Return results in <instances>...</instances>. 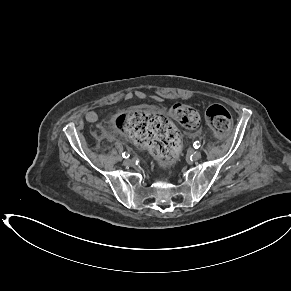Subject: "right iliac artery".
Returning a JSON list of instances; mask_svg holds the SVG:
<instances>
[{"label":"right iliac artery","instance_id":"obj_1","mask_svg":"<svg viewBox=\"0 0 291 291\" xmlns=\"http://www.w3.org/2000/svg\"><path fill=\"white\" fill-rule=\"evenodd\" d=\"M122 156H123V158H128L129 157V154L127 152H123L122 153Z\"/></svg>","mask_w":291,"mask_h":291}]
</instances>
